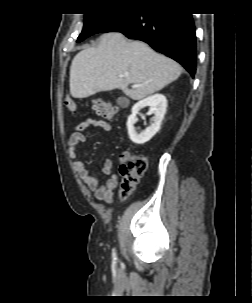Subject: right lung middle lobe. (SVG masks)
<instances>
[{"mask_svg":"<svg viewBox=\"0 0 252 303\" xmlns=\"http://www.w3.org/2000/svg\"><path fill=\"white\" fill-rule=\"evenodd\" d=\"M127 10L119 12H108V13H90L85 14V23L82 33L78 37L77 42L84 40L85 38L99 33L107 25L115 21L118 17L126 13Z\"/></svg>","mask_w":252,"mask_h":303,"instance_id":"obj_1","label":"right lung middle lobe"}]
</instances>
